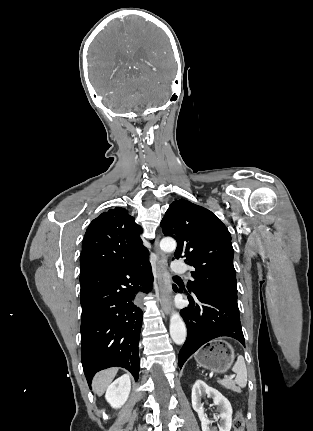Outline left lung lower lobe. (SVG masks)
<instances>
[{"label": "left lung lower lobe", "instance_id": "1", "mask_svg": "<svg viewBox=\"0 0 313 431\" xmlns=\"http://www.w3.org/2000/svg\"><path fill=\"white\" fill-rule=\"evenodd\" d=\"M186 294L190 304L181 310V315L188 334L179 352L180 368L195 351L214 338L229 336L245 345L236 298L216 293Z\"/></svg>", "mask_w": 313, "mask_h": 431}]
</instances>
